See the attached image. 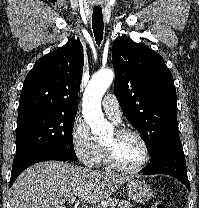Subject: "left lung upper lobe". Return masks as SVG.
I'll return each instance as SVG.
<instances>
[{"instance_id": "left-lung-upper-lobe-1", "label": "left lung upper lobe", "mask_w": 199, "mask_h": 208, "mask_svg": "<svg viewBox=\"0 0 199 208\" xmlns=\"http://www.w3.org/2000/svg\"><path fill=\"white\" fill-rule=\"evenodd\" d=\"M112 58L115 95L152 158L163 144L179 137L172 74L160 54L126 36L114 41Z\"/></svg>"}]
</instances>
